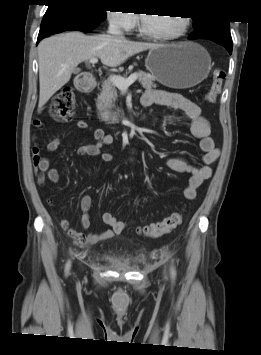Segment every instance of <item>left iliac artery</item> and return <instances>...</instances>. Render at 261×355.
Instances as JSON below:
<instances>
[{
	"label": "left iliac artery",
	"mask_w": 261,
	"mask_h": 355,
	"mask_svg": "<svg viewBox=\"0 0 261 355\" xmlns=\"http://www.w3.org/2000/svg\"><path fill=\"white\" fill-rule=\"evenodd\" d=\"M171 275H172V278L173 279H175V277H176V270H175V268L172 266V268H171Z\"/></svg>",
	"instance_id": "left-iliac-artery-1"
}]
</instances>
